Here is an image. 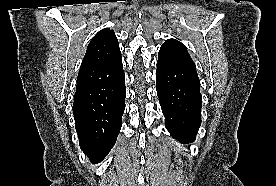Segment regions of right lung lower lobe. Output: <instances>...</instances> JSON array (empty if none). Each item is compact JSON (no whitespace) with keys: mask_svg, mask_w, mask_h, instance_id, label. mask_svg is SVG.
<instances>
[{"mask_svg":"<svg viewBox=\"0 0 276 186\" xmlns=\"http://www.w3.org/2000/svg\"><path fill=\"white\" fill-rule=\"evenodd\" d=\"M125 74L100 85L76 88L73 114L80 147L101 162L116 142L125 109Z\"/></svg>","mask_w":276,"mask_h":186,"instance_id":"obj_1","label":"right lung lower lobe"}]
</instances>
